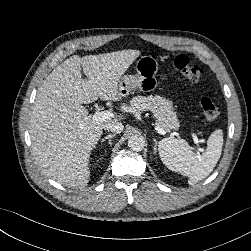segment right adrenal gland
Masks as SVG:
<instances>
[{
	"label": "right adrenal gland",
	"mask_w": 251,
	"mask_h": 251,
	"mask_svg": "<svg viewBox=\"0 0 251 251\" xmlns=\"http://www.w3.org/2000/svg\"><path fill=\"white\" fill-rule=\"evenodd\" d=\"M117 134L115 133V134H110V135H107L106 137H104L102 140H101V142H104V141H106V140H108V143L110 144V146H111V138H113V137H115Z\"/></svg>",
	"instance_id": "right-adrenal-gland-1"
}]
</instances>
